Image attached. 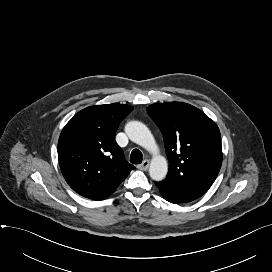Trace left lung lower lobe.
Returning a JSON list of instances; mask_svg holds the SVG:
<instances>
[{
	"instance_id": "1",
	"label": "left lung lower lobe",
	"mask_w": 272,
	"mask_h": 272,
	"mask_svg": "<svg viewBox=\"0 0 272 272\" xmlns=\"http://www.w3.org/2000/svg\"><path fill=\"white\" fill-rule=\"evenodd\" d=\"M156 186L159 188V183L155 182ZM160 193L162 196L169 202L177 204V203H187L191 202L193 200H196L197 198L201 197V194H187L182 196H168L164 193L163 188H159Z\"/></svg>"
}]
</instances>
